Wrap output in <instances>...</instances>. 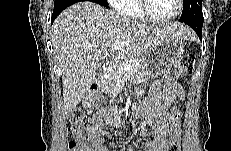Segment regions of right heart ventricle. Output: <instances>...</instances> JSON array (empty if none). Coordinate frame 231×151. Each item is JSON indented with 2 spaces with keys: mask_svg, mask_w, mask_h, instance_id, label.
Masks as SVG:
<instances>
[{
  "mask_svg": "<svg viewBox=\"0 0 231 151\" xmlns=\"http://www.w3.org/2000/svg\"><path fill=\"white\" fill-rule=\"evenodd\" d=\"M119 11L132 20H145L139 10L138 1L136 0L123 1Z\"/></svg>",
  "mask_w": 231,
  "mask_h": 151,
  "instance_id": "right-heart-ventricle-1",
  "label": "right heart ventricle"
}]
</instances>
